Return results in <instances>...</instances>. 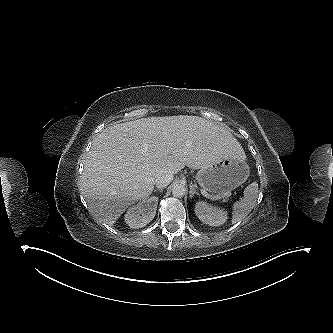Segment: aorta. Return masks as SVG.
Wrapping results in <instances>:
<instances>
[{
    "instance_id": "aorta-1",
    "label": "aorta",
    "mask_w": 333,
    "mask_h": 333,
    "mask_svg": "<svg viewBox=\"0 0 333 333\" xmlns=\"http://www.w3.org/2000/svg\"><path fill=\"white\" fill-rule=\"evenodd\" d=\"M186 188L182 184H176L172 188V195L176 198H181L185 195Z\"/></svg>"
}]
</instances>
